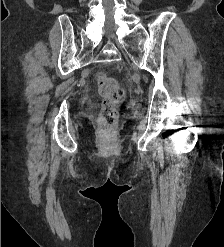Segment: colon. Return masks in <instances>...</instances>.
Instances as JSON below:
<instances>
[{
  "instance_id": "obj_1",
  "label": "colon",
  "mask_w": 224,
  "mask_h": 247,
  "mask_svg": "<svg viewBox=\"0 0 224 247\" xmlns=\"http://www.w3.org/2000/svg\"><path fill=\"white\" fill-rule=\"evenodd\" d=\"M96 83L103 99L100 126L102 129H108L117 122V109L123 101L124 90L114 78L109 77L105 73H98L96 75Z\"/></svg>"
}]
</instances>
